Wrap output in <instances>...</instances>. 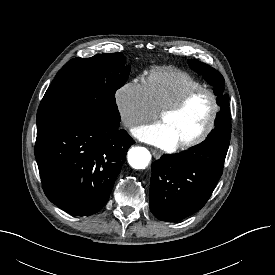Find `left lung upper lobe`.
<instances>
[{
  "mask_svg": "<svg viewBox=\"0 0 275 275\" xmlns=\"http://www.w3.org/2000/svg\"><path fill=\"white\" fill-rule=\"evenodd\" d=\"M188 64L197 73L204 76L207 82L214 86V93L217 95V103L220 112L215 119V128L209 133L207 138L224 137L231 138V118L229 112V96L224 93V78L214 68L198 60L189 59Z\"/></svg>",
  "mask_w": 275,
  "mask_h": 275,
  "instance_id": "left-lung-upper-lobe-1",
  "label": "left lung upper lobe"
}]
</instances>
